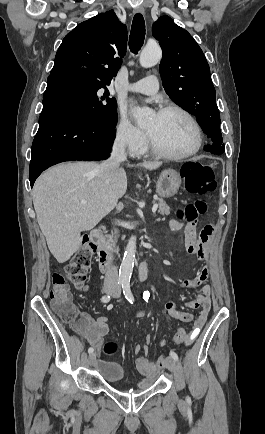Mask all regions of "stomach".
I'll use <instances>...</instances> for the list:
<instances>
[{
    "label": "stomach",
    "instance_id": "0dacf381",
    "mask_svg": "<svg viewBox=\"0 0 265 434\" xmlns=\"http://www.w3.org/2000/svg\"><path fill=\"white\" fill-rule=\"evenodd\" d=\"M181 186V178L175 170H164L158 178L156 192L161 198H171L177 194Z\"/></svg>",
    "mask_w": 265,
    "mask_h": 434
}]
</instances>
